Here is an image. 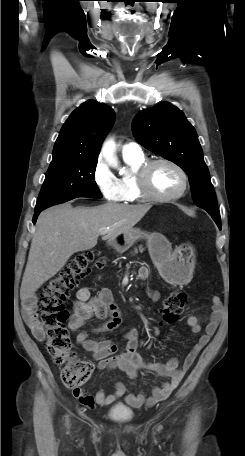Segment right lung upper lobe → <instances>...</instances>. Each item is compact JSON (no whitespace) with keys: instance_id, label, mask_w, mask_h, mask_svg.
<instances>
[{"instance_id":"1","label":"right lung upper lobe","mask_w":245,"mask_h":456,"mask_svg":"<svg viewBox=\"0 0 245 456\" xmlns=\"http://www.w3.org/2000/svg\"><path fill=\"white\" fill-rule=\"evenodd\" d=\"M115 120L105 104L89 100L72 112L64 123L53 149L52 162L70 158H98L102 141Z\"/></svg>"}]
</instances>
